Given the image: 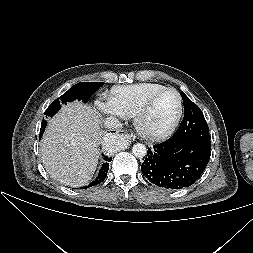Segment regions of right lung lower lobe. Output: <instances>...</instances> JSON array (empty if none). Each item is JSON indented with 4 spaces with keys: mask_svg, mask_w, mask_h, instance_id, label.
I'll list each match as a JSON object with an SVG mask.
<instances>
[{
    "mask_svg": "<svg viewBox=\"0 0 253 253\" xmlns=\"http://www.w3.org/2000/svg\"><path fill=\"white\" fill-rule=\"evenodd\" d=\"M104 160H105V163H103L101 170H100L98 176L96 177V179L94 181H92L88 186H85V188L95 186V185L100 184L101 182L104 181V179L107 176L108 169H109V162L112 160V158L108 157V156H104Z\"/></svg>",
    "mask_w": 253,
    "mask_h": 253,
    "instance_id": "98d812e1",
    "label": "right lung lower lobe"
}]
</instances>
